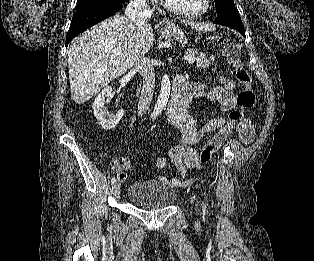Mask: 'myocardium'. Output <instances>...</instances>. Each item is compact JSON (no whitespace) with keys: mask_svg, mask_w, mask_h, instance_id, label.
Returning a JSON list of instances; mask_svg holds the SVG:
<instances>
[{"mask_svg":"<svg viewBox=\"0 0 314 261\" xmlns=\"http://www.w3.org/2000/svg\"><path fill=\"white\" fill-rule=\"evenodd\" d=\"M162 2H163L164 7L168 11H170L176 15L182 16V17L193 18V17H198V16L205 14L209 10V8L211 7L212 0H205L203 7L201 9L195 10V11H187V10L180 9V8L174 6L169 0H162Z\"/></svg>","mask_w":314,"mask_h":261,"instance_id":"myocardium-1","label":"myocardium"}]
</instances>
